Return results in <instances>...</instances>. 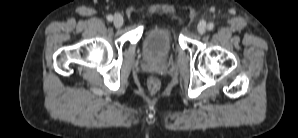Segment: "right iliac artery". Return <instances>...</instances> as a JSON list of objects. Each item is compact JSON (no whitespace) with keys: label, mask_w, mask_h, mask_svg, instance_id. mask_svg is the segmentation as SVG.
<instances>
[{"label":"right iliac artery","mask_w":298,"mask_h":138,"mask_svg":"<svg viewBox=\"0 0 298 138\" xmlns=\"http://www.w3.org/2000/svg\"><path fill=\"white\" fill-rule=\"evenodd\" d=\"M107 20H108V21H112V20H113V16H112V15H108V16H107Z\"/></svg>","instance_id":"obj_1"}]
</instances>
